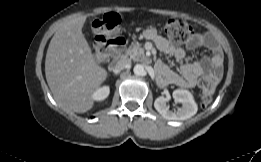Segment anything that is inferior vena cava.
<instances>
[{"instance_id": "inferior-vena-cava-1", "label": "inferior vena cava", "mask_w": 261, "mask_h": 162, "mask_svg": "<svg viewBox=\"0 0 261 162\" xmlns=\"http://www.w3.org/2000/svg\"><path fill=\"white\" fill-rule=\"evenodd\" d=\"M131 64V61L129 59H122L120 61H118L114 67H113V71L115 73H119L120 71H122L123 69L127 68L129 65Z\"/></svg>"}]
</instances>
